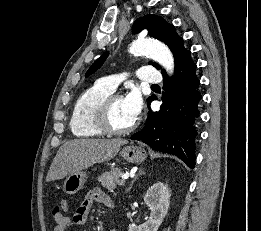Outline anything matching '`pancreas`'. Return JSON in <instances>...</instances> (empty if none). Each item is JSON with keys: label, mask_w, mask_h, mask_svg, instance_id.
Instances as JSON below:
<instances>
[{"label": "pancreas", "mask_w": 261, "mask_h": 231, "mask_svg": "<svg viewBox=\"0 0 261 231\" xmlns=\"http://www.w3.org/2000/svg\"><path fill=\"white\" fill-rule=\"evenodd\" d=\"M123 174L120 169L111 168L109 171H106L98 177V181L101 185L107 190L114 192L118 185L121 184L119 177Z\"/></svg>", "instance_id": "cf45deb5"}]
</instances>
